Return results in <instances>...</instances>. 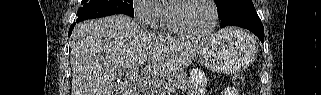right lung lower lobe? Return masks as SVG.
<instances>
[{
    "label": "right lung lower lobe",
    "instance_id": "1",
    "mask_svg": "<svg viewBox=\"0 0 321 95\" xmlns=\"http://www.w3.org/2000/svg\"><path fill=\"white\" fill-rule=\"evenodd\" d=\"M74 25H75V23H74V24H72V25L70 26L69 35L71 34V32H72V30H73Z\"/></svg>",
    "mask_w": 321,
    "mask_h": 95
}]
</instances>
